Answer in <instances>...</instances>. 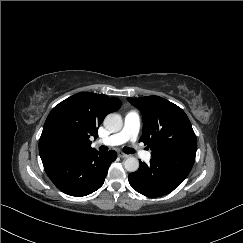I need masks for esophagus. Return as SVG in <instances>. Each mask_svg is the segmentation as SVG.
Here are the masks:
<instances>
[{"label": "esophagus", "mask_w": 243, "mask_h": 243, "mask_svg": "<svg viewBox=\"0 0 243 243\" xmlns=\"http://www.w3.org/2000/svg\"><path fill=\"white\" fill-rule=\"evenodd\" d=\"M118 156H119L120 158H127V157H128V155L125 154V153H123L122 151H119V152H118Z\"/></svg>", "instance_id": "esophagus-1"}]
</instances>
